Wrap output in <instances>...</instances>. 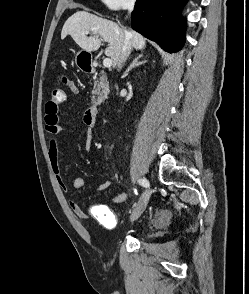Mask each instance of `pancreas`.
<instances>
[{
  "label": "pancreas",
  "mask_w": 249,
  "mask_h": 294,
  "mask_svg": "<svg viewBox=\"0 0 249 294\" xmlns=\"http://www.w3.org/2000/svg\"><path fill=\"white\" fill-rule=\"evenodd\" d=\"M109 93V82L107 77L102 75L98 80L94 81L93 94L98 95L100 99H105Z\"/></svg>",
  "instance_id": "cf45deb5"
}]
</instances>
